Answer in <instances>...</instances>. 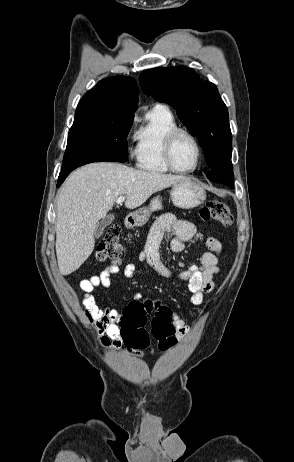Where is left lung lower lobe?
Returning <instances> with one entry per match:
<instances>
[{
	"instance_id": "obj_1",
	"label": "left lung lower lobe",
	"mask_w": 294,
	"mask_h": 462,
	"mask_svg": "<svg viewBox=\"0 0 294 462\" xmlns=\"http://www.w3.org/2000/svg\"><path fill=\"white\" fill-rule=\"evenodd\" d=\"M208 178L212 181L226 184L231 188H234L233 185V170H212L208 174Z\"/></svg>"
}]
</instances>
